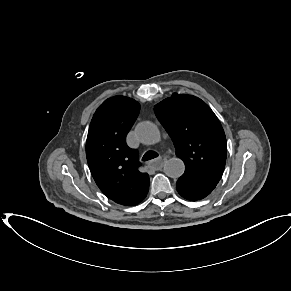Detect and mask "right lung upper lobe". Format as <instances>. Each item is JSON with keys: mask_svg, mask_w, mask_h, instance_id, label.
I'll list each match as a JSON object with an SVG mask.
<instances>
[{"mask_svg": "<svg viewBox=\"0 0 291 291\" xmlns=\"http://www.w3.org/2000/svg\"><path fill=\"white\" fill-rule=\"evenodd\" d=\"M139 110L132 98L105 100L93 115L86 141L87 162L96 184L109 199L125 206L139 204L149 189L148 174L138 170L137 150L126 144Z\"/></svg>", "mask_w": 291, "mask_h": 291, "instance_id": "obj_1", "label": "right lung upper lobe"}]
</instances>
